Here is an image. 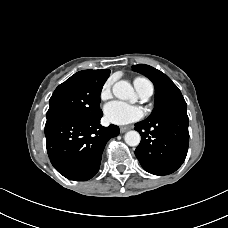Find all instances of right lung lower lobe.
Instances as JSON below:
<instances>
[{
	"label": "right lung lower lobe",
	"instance_id": "right-lung-lower-lobe-1",
	"mask_svg": "<svg viewBox=\"0 0 228 228\" xmlns=\"http://www.w3.org/2000/svg\"><path fill=\"white\" fill-rule=\"evenodd\" d=\"M103 113L92 117H59L46 122L48 156L54 168L64 177L85 181L99 170L107 141L119 134V127H103Z\"/></svg>",
	"mask_w": 228,
	"mask_h": 228
}]
</instances>
